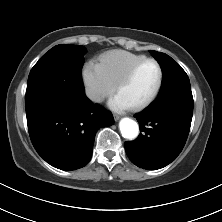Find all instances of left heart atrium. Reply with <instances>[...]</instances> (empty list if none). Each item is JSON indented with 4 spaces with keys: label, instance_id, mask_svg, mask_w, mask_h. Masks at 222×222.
Returning <instances> with one entry per match:
<instances>
[{
    "label": "left heart atrium",
    "instance_id": "obj_1",
    "mask_svg": "<svg viewBox=\"0 0 222 222\" xmlns=\"http://www.w3.org/2000/svg\"><path fill=\"white\" fill-rule=\"evenodd\" d=\"M109 107L115 111H124L131 108V104L119 93L109 100Z\"/></svg>",
    "mask_w": 222,
    "mask_h": 222
}]
</instances>
